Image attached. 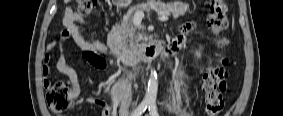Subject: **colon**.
<instances>
[{
  "mask_svg": "<svg viewBox=\"0 0 283 116\" xmlns=\"http://www.w3.org/2000/svg\"><path fill=\"white\" fill-rule=\"evenodd\" d=\"M96 0H79L78 12L89 14L96 7ZM208 24L215 36V44L219 50L216 62L209 65L203 75V91L205 93L206 112L208 115H219L225 105L223 92L227 87L229 59L225 56L229 40L224 36L228 27L227 6L224 0H212L208 15ZM46 101L49 108L56 114H62L71 109L75 101L73 90L65 82H46Z\"/></svg>",
  "mask_w": 283,
  "mask_h": 116,
  "instance_id": "5ec220e1",
  "label": "colon"
}]
</instances>
